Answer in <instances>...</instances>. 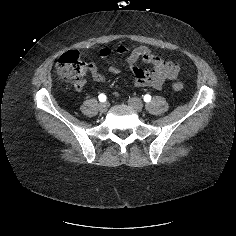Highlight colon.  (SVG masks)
I'll return each mask as SVG.
<instances>
[{
  "mask_svg": "<svg viewBox=\"0 0 236 236\" xmlns=\"http://www.w3.org/2000/svg\"><path fill=\"white\" fill-rule=\"evenodd\" d=\"M57 73L68 83L79 87L83 84V78L87 71V64L80 58L77 51L64 53L56 62ZM184 87L182 82H176L172 88L176 91Z\"/></svg>",
  "mask_w": 236,
  "mask_h": 236,
  "instance_id": "5ec220e1",
  "label": "colon"
}]
</instances>
